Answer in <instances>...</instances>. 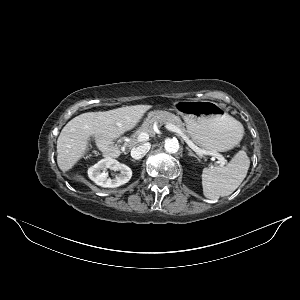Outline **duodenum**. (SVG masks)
<instances>
[{
  "mask_svg": "<svg viewBox=\"0 0 300 300\" xmlns=\"http://www.w3.org/2000/svg\"><path fill=\"white\" fill-rule=\"evenodd\" d=\"M106 155L110 158H119L121 156L120 148H109L106 152Z\"/></svg>",
  "mask_w": 300,
  "mask_h": 300,
  "instance_id": "410a0bca",
  "label": "duodenum"
}]
</instances>
